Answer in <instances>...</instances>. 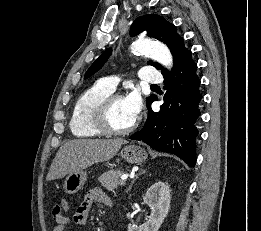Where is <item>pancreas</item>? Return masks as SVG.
I'll use <instances>...</instances> for the list:
<instances>
[{
	"label": "pancreas",
	"instance_id": "pancreas-1",
	"mask_svg": "<svg viewBox=\"0 0 261 231\" xmlns=\"http://www.w3.org/2000/svg\"><path fill=\"white\" fill-rule=\"evenodd\" d=\"M123 174L121 170L111 169L108 172L103 173L99 176L98 181L101 185L106 188L108 191L115 192L118 186H122V181L119 177Z\"/></svg>",
	"mask_w": 261,
	"mask_h": 231
}]
</instances>
